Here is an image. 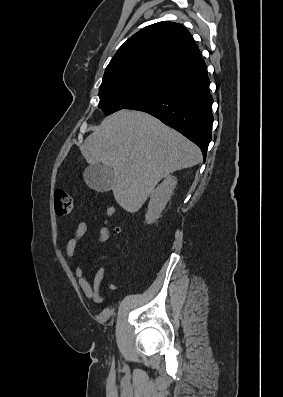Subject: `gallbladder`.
<instances>
[{"mask_svg":"<svg viewBox=\"0 0 283 397\" xmlns=\"http://www.w3.org/2000/svg\"><path fill=\"white\" fill-rule=\"evenodd\" d=\"M83 177L89 188L97 192H108L112 189L114 172L102 163L88 166Z\"/></svg>","mask_w":283,"mask_h":397,"instance_id":"gallbladder-1","label":"gallbladder"}]
</instances>
